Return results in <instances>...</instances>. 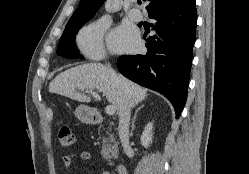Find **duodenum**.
Segmentation results:
<instances>
[{"mask_svg":"<svg viewBox=\"0 0 249 174\" xmlns=\"http://www.w3.org/2000/svg\"><path fill=\"white\" fill-rule=\"evenodd\" d=\"M93 124H101L102 118L99 117L97 114H93L91 119ZM115 170L117 174H128V169L124 164H118L115 166Z\"/></svg>","mask_w":249,"mask_h":174,"instance_id":"1","label":"duodenum"}]
</instances>
